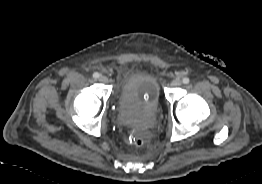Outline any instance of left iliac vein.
<instances>
[{
  "instance_id": "left-iliac-vein-1",
  "label": "left iliac vein",
  "mask_w": 262,
  "mask_h": 184,
  "mask_svg": "<svg viewBox=\"0 0 262 184\" xmlns=\"http://www.w3.org/2000/svg\"><path fill=\"white\" fill-rule=\"evenodd\" d=\"M181 80H179V79H174V80H172V82H171V85L173 86V87H178V86H180L181 85Z\"/></svg>"
}]
</instances>
